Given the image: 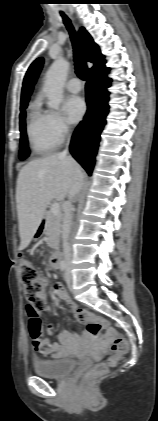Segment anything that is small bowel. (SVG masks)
<instances>
[{
	"instance_id": "obj_1",
	"label": "small bowel",
	"mask_w": 158,
	"mask_h": 421,
	"mask_svg": "<svg viewBox=\"0 0 158 421\" xmlns=\"http://www.w3.org/2000/svg\"><path fill=\"white\" fill-rule=\"evenodd\" d=\"M53 296L56 299L63 301L70 308L80 324H83L80 320V316L82 314L92 316V314L88 311L78 308L61 283H56L54 285ZM46 310L49 311V307H47ZM27 312L29 316V333L32 340V346L35 351L41 354L51 355L55 358L65 357L67 354V348L65 345L72 343L82 344L86 343L88 340L86 336L79 337L73 331H64L56 335V341L51 342L49 336L54 334V327L50 325L48 327V334H44L40 323L38 325L34 324L28 309ZM109 342L110 340L106 338L105 343L97 347L96 351L104 352L106 350V343Z\"/></svg>"
}]
</instances>
